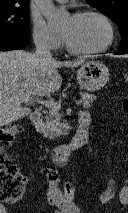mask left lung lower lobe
I'll list each match as a JSON object with an SVG mask.
<instances>
[{"instance_id": "left-lung-lower-lobe-1", "label": "left lung lower lobe", "mask_w": 128, "mask_h": 213, "mask_svg": "<svg viewBox=\"0 0 128 213\" xmlns=\"http://www.w3.org/2000/svg\"><path fill=\"white\" fill-rule=\"evenodd\" d=\"M116 54H128V49L119 50Z\"/></svg>"}]
</instances>
